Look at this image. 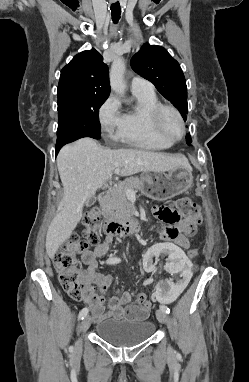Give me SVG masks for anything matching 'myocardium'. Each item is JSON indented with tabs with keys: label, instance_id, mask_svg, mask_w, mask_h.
<instances>
[{
	"label": "myocardium",
	"instance_id": "myocardium-1",
	"mask_svg": "<svg viewBox=\"0 0 249 382\" xmlns=\"http://www.w3.org/2000/svg\"><path fill=\"white\" fill-rule=\"evenodd\" d=\"M167 112H170L172 113L173 115H175V117L178 119L179 123H180V134L176 137L174 136H171L165 129L164 127V124H163V119H164V115L167 113ZM151 121H152V124H153V127L154 129L156 130V132L161 136L163 137L164 139L168 140V141H171V142H176V141H179L181 140L184 135H185V132H186V125H185V121H184V118L182 116V114L180 113V111L172 106V105H167V104H160L158 105L157 107H155L152 112H151Z\"/></svg>",
	"mask_w": 249,
	"mask_h": 382
}]
</instances>
